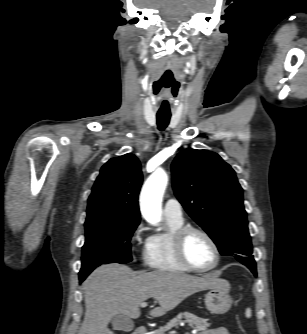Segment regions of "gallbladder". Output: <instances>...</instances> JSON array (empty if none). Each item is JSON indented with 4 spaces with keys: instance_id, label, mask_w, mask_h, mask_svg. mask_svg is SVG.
<instances>
[{
    "instance_id": "1",
    "label": "gallbladder",
    "mask_w": 307,
    "mask_h": 334,
    "mask_svg": "<svg viewBox=\"0 0 307 334\" xmlns=\"http://www.w3.org/2000/svg\"><path fill=\"white\" fill-rule=\"evenodd\" d=\"M111 322L114 330L130 332L134 328L133 321L123 315L114 316Z\"/></svg>"
}]
</instances>
